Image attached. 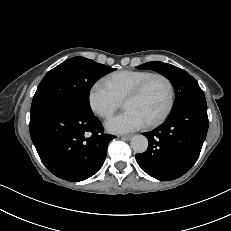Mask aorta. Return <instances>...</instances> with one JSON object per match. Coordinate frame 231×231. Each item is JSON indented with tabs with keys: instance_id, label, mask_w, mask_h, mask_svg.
Masks as SVG:
<instances>
[{
	"instance_id": "1",
	"label": "aorta",
	"mask_w": 231,
	"mask_h": 231,
	"mask_svg": "<svg viewBox=\"0 0 231 231\" xmlns=\"http://www.w3.org/2000/svg\"><path fill=\"white\" fill-rule=\"evenodd\" d=\"M130 144L136 153H143L148 148V140L144 135H134Z\"/></svg>"
}]
</instances>
